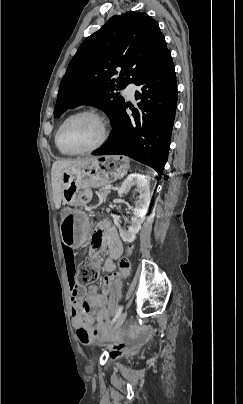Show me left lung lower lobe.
I'll use <instances>...</instances> for the list:
<instances>
[{
    "mask_svg": "<svg viewBox=\"0 0 243 404\" xmlns=\"http://www.w3.org/2000/svg\"><path fill=\"white\" fill-rule=\"evenodd\" d=\"M136 99L143 111L133 118L124 110L112 124V132L94 155L123 154L154 168L161 176L168 158L172 127L177 106V83L170 51L139 78ZM135 121L136 126L133 125Z\"/></svg>",
    "mask_w": 243,
    "mask_h": 404,
    "instance_id": "0a47b994",
    "label": "left lung lower lobe"
}]
</instances>
